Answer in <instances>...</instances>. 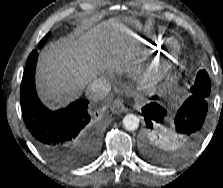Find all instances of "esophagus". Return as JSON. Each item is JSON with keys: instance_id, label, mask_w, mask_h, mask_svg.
Listing matches in <instances>:
<instances>
[{"instance_id": "obj_1", "label": "esophagus", "mask_w": 223, "mask_h": 188, "mask_svg": "<svg viewBox=\"0 0 223 188\" xmlns=\"http://www.w3.org/2000/svg\"><path fill=\"white\" fill-rule=\"evenodd\" d=\"M110 109H111L112 113H115V114H119V113H122L124 111H127V109H126V107L123 103V100L120 99V98L115 99L111 103Z\"/></svg>"}]
</instances>
